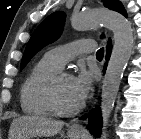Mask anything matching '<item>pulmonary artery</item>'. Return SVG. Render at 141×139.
<instances>
[{
  "label": "pulmonary artery",
  "mask_w": 141,
  "mask_h": 139,
  "mask_svg": "<svg viewBox=\"0 0 141 139\" xmlns=\"http://www.w3.org/2000/svg\"><path fill=\"white\" fill-rule=\"evenodd\" d=\"M96 43L93 40H78L69 44L56 47L45 54V58L58 68L81 53H91L95 50Z\"/></svg>",
  "instance_id": "pulmonary-artery-1"
}]
</instances>
